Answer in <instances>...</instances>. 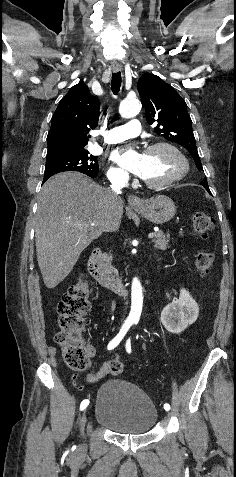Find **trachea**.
<instances>
[{
	"label": "trachea",
	"instance_id": "obj_1",
	"mask_svg": "<svg viewBox=\"0 0 236 477\" xmlns=\"http://www.w3.org/2000/svg\"><path fill=\"white\" fill-rule=\"evenodd\" d=\"M120 86H121V73L120 72L113 73L112 80H111V90L115 95L119 92Z\"/></svg>",
	"mask_w": 236,
	"mask_h": 477
}]
</instances>
